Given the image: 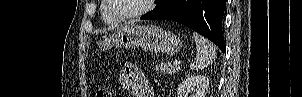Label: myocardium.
Segmentation results:
<instances>
[{
	"label": "myocardium",
	"mask_w": 302,
	"mask_h": 97,
	"mask_svg": "<svg viewBox=\"0 0 302 97\" xmlns=\"http://www.w3.org/2000/svg\"><path fill=\"white\" fill-rule=\"evenodd\" d=\"M145 2H146L145 6L141 8L139 11L129 15H120L115 11L112 0H105L109 13L112 15L113 18L119 21H129L142 17L145 14H147L152 9L154 0H145Z\"/></svg>",
	"instance_id": "myocardium-1"
}]
</instances>
